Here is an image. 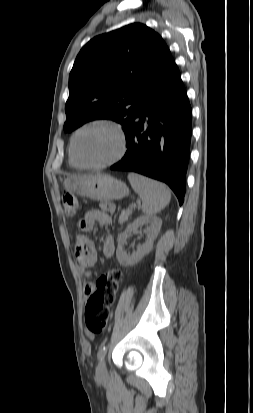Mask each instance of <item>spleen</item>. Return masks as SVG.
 Listing matches in <instances>:
<instances>
[{
  "label": "spleen",
  "mask_w": 253,
  "mask_h": 413,
  "mask_svg": "<svg viewBox=\"0 0 253 413\" xmlns=\"http://www.w3.org/2000/svg\"><path fill=\"white\" fill-rule=\"evenodd\" d=\"M128 180L141 198L142 210L145 214L154 215L169 203L171 193L165 184L136 173H129Z\"/></svg>",
  "instance_id": "3e777b00"
}]
</instances>
